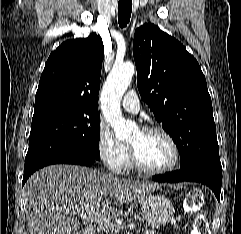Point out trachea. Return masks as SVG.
<instances>
[{
  "mask_svg": "<svg viewBox=\"0 0 241 234\" xmlns=\"http://www.w3.org/2000/svg\"><path fill=\"white\" fill-rule=\"evenodd\" d=\"M132 12V0H119L118 23L121 28L126 27L130 21Z\"/></svg>",
  "mask_w": 241,
  "mask_h": 234,
  "instance_id": "trachea-1",
  "label": "trachea"
}]
</instances>
